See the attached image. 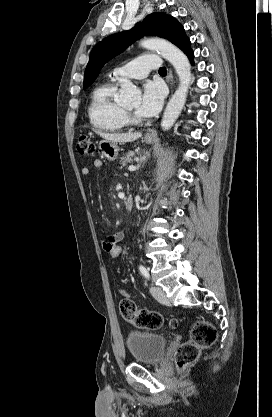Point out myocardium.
Masks as SVG:
<instances>
[{
  "instance_id": "f54148a6",
  "label": "myocardium",
  "mask_w": 272,
  "mask_h": 417,
  "mask_svg": "<svg viewBox=\"0 0 272 417\" xmlns=\"http://www.w3.org/2000/svg\"><path fill=\"white\" fill-rule=\"evenodd\" d=\"M123 109H124V113H125L127 121H129V122H137L138 121V119L133 115V113L129 109H125V108H123Z\"/></svg>"
}]
</instances>
